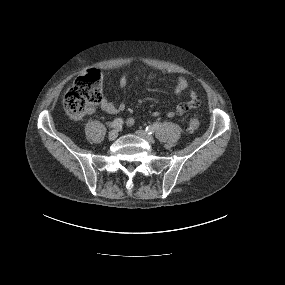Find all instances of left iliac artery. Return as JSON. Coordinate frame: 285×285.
<instances>
[{"label": "left iliac artery", "mask_w": 285, "mask_h": 285, "mask_svg": "<svg viewBox=\"0 0 285 285\" xmlns=\"http://www.w3.org/2000/svg\"><path fill=\"white\" fill-rule=\"evenodd\" d=\"M159 127H160V123H154L151 126H147L145 130L148 134H152L155 131H157L159 129Z\"/></svg>", "instance_id": "44dca946"}]
</instances>
